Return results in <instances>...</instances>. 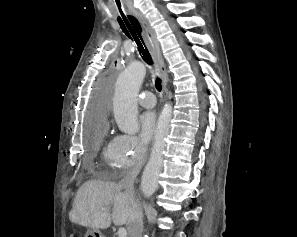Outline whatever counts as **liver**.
<instances>
[{"label": "liver", "instance_id": "obj_1", "mask_svg": "<svg viewBox=\"0 0 297 237\" xmlns=\"http://www.w3.org/2000/svg\"><path fill=\"white\" fill-rule=\"evenodd\" d=\"M69 219L96 230L109 228L111 222L125 225L129 219L128 198L115 183L88 181L78 189Z\"/></svg>", "mask_w": 297, "mask_h": 237}]
</instances>
